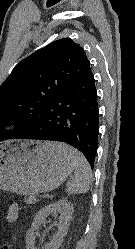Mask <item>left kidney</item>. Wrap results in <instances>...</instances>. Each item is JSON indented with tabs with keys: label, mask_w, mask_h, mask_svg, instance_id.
Wrapping results in <instances>:
<instances>
[{
	"label": "left kidney",
	"mask_w": 135,
	"mask_h": 249,
	"mask_svg": "<svg viewBox=\"0 0 135 249\" xmlns=\"http://www.w3.org/2000/svg\"><path fill=\"white\" fill-rule=\"evenodd\" d=\"M73 205L66 199H61L42 208L35 216L31 228L26 233V249H38L35 247L36 231L45 222L50 214L60 213L58 231L52 240L43 246L42 249H59L66 236L72 215Z\"/></svg>",
	"instance_id": "5707ae66"
}]
</instances>
